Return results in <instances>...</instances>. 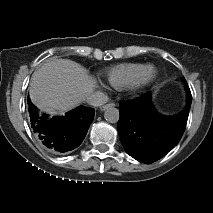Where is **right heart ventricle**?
I'll list each match as a JSON object with an SVG mask.
<instances>
[{"label":"right heart ventricle","mask_w":213,"mask_h":213,"mask_svg":"<svg viewBox=\"0 0 213 213\" xmlns=\"http://www.w3.org/2000/svg\"><path fill=\"white\" fill-rule=\"evenodd\" d=\"M142 63H122L111 67L106 72L109 84L115 89H122L132 81L145 67Z\"/></svg>","instance_id":"1"}]
</instances>
